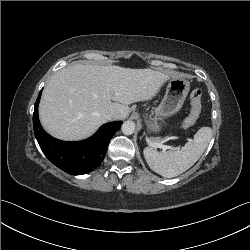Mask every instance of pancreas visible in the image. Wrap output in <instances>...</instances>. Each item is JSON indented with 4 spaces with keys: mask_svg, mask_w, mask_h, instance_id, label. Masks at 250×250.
<instances>
[{
    "mask_svg": "<svg viewBox=\"0 0 250 250\" xmlns=\"http://www.w3.org/2000/svg\"><path fill=\"white\" fill-rule=\"evenodd\" d=\"M152 141H153V142H160V139L154 138Z\"/></svg>",
    "mask_w": 250,
    "mask_h": 250,
    "instance_id": "pancreas-1",
    "label": "pancreas"
}]
</instances>
